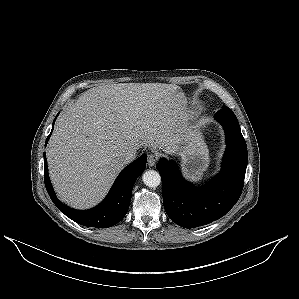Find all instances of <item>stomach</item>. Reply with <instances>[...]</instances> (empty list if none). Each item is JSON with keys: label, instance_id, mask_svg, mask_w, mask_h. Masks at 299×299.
<instances>
[{"label": "stomach", "instance_id": "1", "mask_svg": "<svg viewBox=\"0 0 299 299\" xmlns=\"http://www.w3.org/2000/svg\"><path fill=\"white\" fill-rule=\"evenodd\" d=\"M193 144L180 153L183 172L185 176L193 181L200 180L209 165V154L201 135L196 132Z\"/></svg>", "mask_w": 299, "mask_h": 299}]
</instances>
